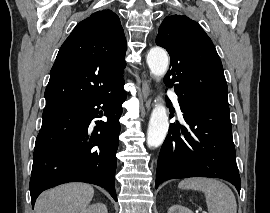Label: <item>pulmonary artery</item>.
<instances>
[{
	"mask_svg": "<svg viewBox=\"0 0 270 213\" xmlns=\"http://www.w3.org/2000/svg\"><path fill=\"white\" fill-rule=\"evenodd\" d=\"M169 95L174 103V106L178 112V114L181 116V110H180V106H179V102H178V96L176 93L173 92H169Z\"/></svg>",
	"mask_w": 270,
	"mask_h": 213,
	"instance_id": "e3ab8cb5",
	"label": "pulmonary artery"
}]
</instances>
